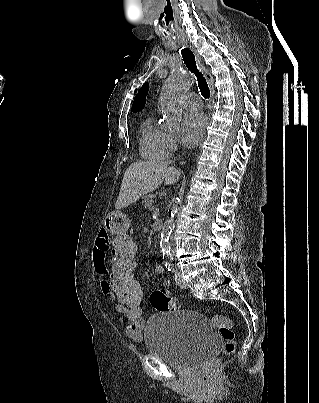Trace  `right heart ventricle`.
<instances>
[{"label":"right heart ventricle","instance_id":"1","mask_svg":"<svg viewBox=\"0 0 319 403\" xmlns=\"http://www.w3.org/2000/svg\"><path fill=\"white\" fill-rule=\"evenodd\" d=\"M168 133L152 118L147 117L141 125L140 153L148 160H162L168 155Z\"/></svg>","mask_w":319,"mask_h":403}]
</instances>
